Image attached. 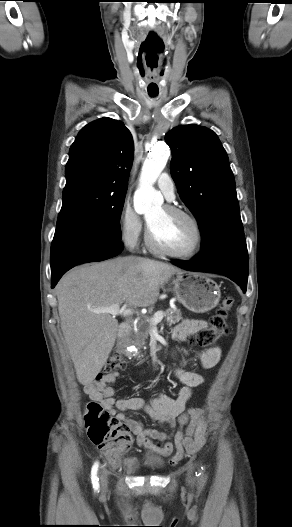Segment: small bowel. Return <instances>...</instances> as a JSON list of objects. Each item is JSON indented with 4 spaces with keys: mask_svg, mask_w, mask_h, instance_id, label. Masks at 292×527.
<instances>
[{
    "mask_svg": "<svg viewBox=\"0 0 292 527\" xmlns=\"http://www.w3.org/2000/svg\"><path fill=\"white\" fill-rule=\"evenodd\" d=\"M205 327H207V322L204 320L185 319L175 327L173 337L184 341ZM220 357V348L211 347L198 353L196 361L202 369L209 370L217 365ZM174 373L184 385L176 398L160 393L149 401L140 397L116 399L115 390L110 384L115 382L117 373L105 375L102 379L87 384L85 392L91 398L99 401L111 415L126 423L136 435V441L140 447L153 450L163 456H170L175 447L176 453L171 456L170 460L172 463H177L184 451L194 453L203 446L208 434V423L204 409L187 407L193 390L204 383V377L199 373L186 371L179 367ZM126 410H142L160 424H168L171 432L146 428L140 421L126 417L123 413Z\"/></svg>",
    "mask_w": 292,
    "mask_h": 527,
    "instance_id": "c3829d8e",
    "label": "small bowel"
}]
</instances>
